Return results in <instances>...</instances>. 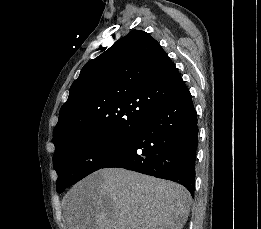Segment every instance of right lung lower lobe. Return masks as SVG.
Listing matches in <instances>:
<instances>
[{
    "label": "right lung lower lobe",
    "instance_id": "right-lung-lower-lobe-1",
    "mask_svg": "<svg viewBox=\"0 0 261 229\" xmlns=\"http://www.w3.org/2000/svg\"><path fill=\"white\" fill-rule=\"evenodd\" d=\"M197 113L183 82L136 132L129 147L103 168L118 167L186 187L194 197Z\"/></svg>",
    "mask_w": 261,
    "mask_h": 229
}]
</instances>
